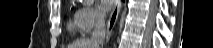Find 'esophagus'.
Instances as JSON below:
<instances>
[{
  "label": "esophagus",
  "instance_id": "obj_1",
  "mask_svg": "<svg viewBox=\"0 0 213 48\" xmlns=\"http://www.w3.org/2000/svg\"><path fill=\"white\" fill-rule=\"evenodd\" d=\"M120 9H121V1L120 0H117L115 2V5L113 7V10L110 14V17H109V20L107 22V32H106V38L109 39L110 38V35L113 31V28L118 20V16H119V13H120Z\"/></svg>",
  "mask_w": 213,
  "mask_h": 48
}]
</instances>
